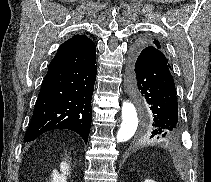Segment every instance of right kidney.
Wrapping results in <instances>:
<instances>
[{
    "mask_svg": "<svg viewBox=\"0 0 211 182\" xmlns=\"http://www.w3.org/2000/svg\"><path fill=\"white\" fill-rule=\"evenodd\" d=\"M61 174H59L56 170L53 171L51 182H66V176L69 174V164L64 161L60 164Z\"/></svg>",
    "mask_w": 211,
    "mask_h": 182,
    "instance_id": "obj_1",
    "label": "right kidney"
}]
</instances>
